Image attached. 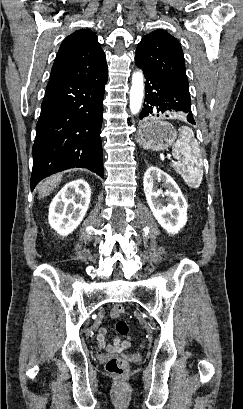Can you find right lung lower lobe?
<instances>
[{
	"instance_id": "98d812e1",
	"label": "right lung lower lobe",
	"mask_w": 243,
	"mask_h": 409,
	"mask_svg": "<svg viewBox=\"0 0 243 409\" xmlns=\"http://www.w3.org/2000/svg\"><path fill=\"white\" fill-rule=\"evenodd\" d=\"M107 67L81 80H50L36 125L31 190L43 178L74 167L103 177L100 131Z\"/></svg>"
}]
</instances>
